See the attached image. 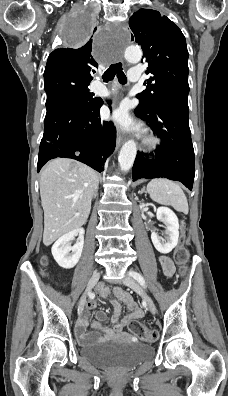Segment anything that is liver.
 Returning <instances> with one entry per match:
<instances>
[{"label": "liver", "mask_w": 228, "mask_h": 396, "mask_svg": "<svg viewBox=\"0 0 228 396\" xmlns=\"http://www.w3.org/2000/svg\"><path fill=\"white\" fill-rule=\"evenodd\" d=\"M98 184L96 171L76 160L57 158L45 166L40 178L45 246L86 223Z\"/></svg>", "instance_id": "obj_1"}]
</instances>
